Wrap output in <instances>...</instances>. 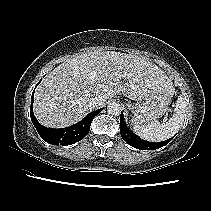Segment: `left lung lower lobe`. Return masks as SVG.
Returning a JSON list of instances; mask_svg holds the SVG:
<instances>
[{"label":"left lung lower lobe","mask_w":211,"mask_h":211,"mask_svg":"<svg viewBox=\"0 0 211 211\" xmlns=\"http://www.w3.org/2000/svg\"><path fill=\"white\" fill-rule=\"evenodd\" d=\"M120 134L122 136V138L132 147H135L137 149H141V150H154V149H158L161 148L165 145H167L171 140L168 139L166 141H162V142H157V143H153V142H147L144 140H141L139 138H137L134 134H132L130 132V130L128 129L125 121H124V116L121 113L120 115Z\"/></svg>","instance_id":"1"}]
</instances>
